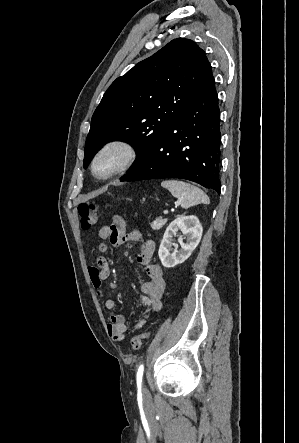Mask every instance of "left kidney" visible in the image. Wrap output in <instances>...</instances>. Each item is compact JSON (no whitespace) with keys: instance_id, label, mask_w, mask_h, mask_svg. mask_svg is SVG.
Segmentation results:
<instances>
[{"instance_id":"1","label":"left kidney","mask_w":299,"mask_h":443,"mask_svg":"<svg viewBox=\"0 0 299 443\" xmlns=\"http://www.w3.org/2000/svg\"><path fill=\"white\" fill-rule=\"evenodd\" d=\"M179 230L182 232L184 238H186V242H183V236L179 237L180 250H178V245L173 243V236H175ZM202 232V225L194 215L180 216L172 221L164 233L158 251L162 265L166 268H171L187 260L198 246Z\"/></svg>"}]
</instances>
